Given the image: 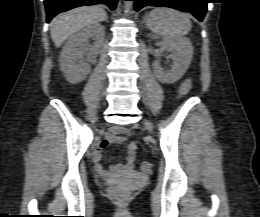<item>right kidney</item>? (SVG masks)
Wrapping results in <instances>:
<instances>
[{
  "mask_svg": "<svg viewBox=\"0 0 260 217\" xmlns=\"http://www.w3.org/2000/svg\"><path fill=\"white\" fill-rule=\"evenodd\" d=\"M105 35V27L91 24L72 35L65 43L60 55V66L65 78L70 83L83 81L90 73L91 67L85 62V53L96 55L100 52ZM93 39V45L88 40Z\"/></svg>",
  "mask_w": 260,
  "mask_h": 217,
  "instance_id": "1",
  "label": "right kidney"
}]
</instances>
